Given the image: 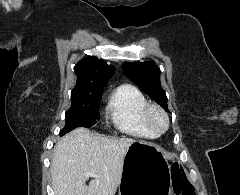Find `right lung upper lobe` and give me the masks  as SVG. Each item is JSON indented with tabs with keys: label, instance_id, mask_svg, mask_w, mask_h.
I'll return each mask as SVG.
<instances>
[{
	"label": "right lung upper lobe",
	"instance_id": "cb5924a9",
	"mask_svg": "<svg viewBox=\"0 0 240 195\" xmlns=\"http://www.w3.org/2000/svg\"><path fill=\"white\" fill-rule=\"evenodd\" d=\"M77 82L71 92V99L101 98L104 85L114 74V67L94 56L80 60L75 68Z\"/></svg>",
	"mask_w": 240,
	"mask_h": 195
}]
</instances>
